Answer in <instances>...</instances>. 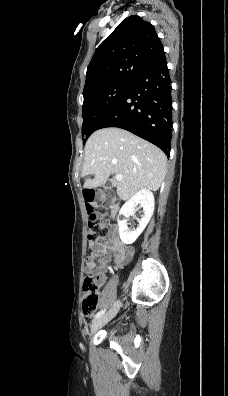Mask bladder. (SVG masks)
<instances>
[{
    "instance_id": "obj_1",
    "label": "bladder",
    "mask_w": 228,
    "mask_h": 396,
    "mask_svg": "<svg viewBox=\"0 0 228 396\" xmlns=\"http://www.w3.org/2000/svg\"><path fill=\"white\" fill-rule=\"evenodd\" d=\"M119 332H120L119 330H115V331H114L115 334H118Z\"/></svg>"
}]
</instances>
